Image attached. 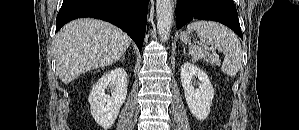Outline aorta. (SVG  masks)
<instances>
[{
    "label": "aorta",
    "instance_id": "obj_1",
    "mask_svg": "<svg viewBox=\"0 0 299 130\" xmlns=\"http://www.w3.org/2000/svg\"><path fill=\"white\" fill-rule=\"evenodd\" d=\"M157 29L160 39L166 42L173 24L172 0H156Z\"/></svg>",
    "mask_w": 299,
    "mask_h": 130
}]
</instances>
